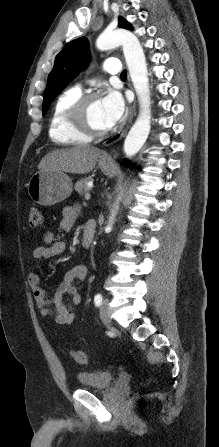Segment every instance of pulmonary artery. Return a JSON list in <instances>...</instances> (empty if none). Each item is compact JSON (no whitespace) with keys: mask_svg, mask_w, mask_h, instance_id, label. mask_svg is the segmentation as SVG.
Wrapping results in <instances>:
<instances>
[{"mask_svg":"<svg viewBox=\"0 0 219 447\" xmlns=\"http://www.w3.org/2000/svg\"><path fill=\"white\" fill-rule=\"evenodd\" d=\"M103 68L104 71L109 75H117L121 72L120 62L115 58H109L105 60ZM75 88L80 90V86H77Z\"/></svg>","mask_w":219,"mask_h":447,"instance_id":"obj_1","label":"pulmonary artery"}]
</instances>
